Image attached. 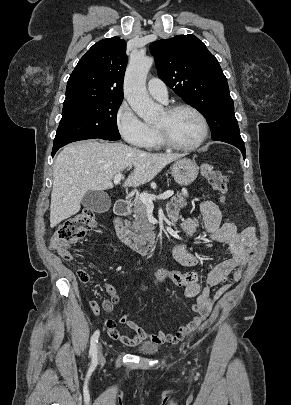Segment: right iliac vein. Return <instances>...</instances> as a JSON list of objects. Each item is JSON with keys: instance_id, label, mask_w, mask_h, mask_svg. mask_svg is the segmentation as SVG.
<instances>
[{"instance_id": "right-iliac-vein-1", "label": "right iliac vein", "mask_w": 291, "mask_h": 405, "mask_svg": "<svg viewBox=\"0 0 291 405\" xmlns=\"http://www.w3.org/2000/svg\"><path fill=\"white\" fill-rule=\"evenodd\" d=\"M98 348H99V358H101L102 357V347H101V345L99 344V346H98Z\"/></svg>"}]
</instances>
